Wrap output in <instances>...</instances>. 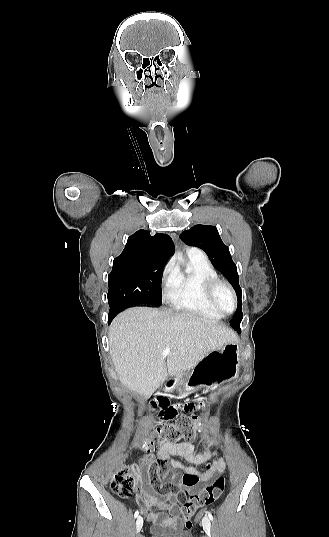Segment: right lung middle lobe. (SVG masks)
<instances>
[{"mask_svg":"<svg viewBox=\"0 0 329 537\" xmlns=\"http://www.w3.org/2000/svg\"><path fill=\"white\" fill-rule=\"evenodd\" d=\"M165 264H152L112 270L108 276V316L135 304L159 306L162 303L160 278Z\"/></svg>","mask_w":329,"mask_h":537,"instance_id":"obj_1","label":"right lung middle lobe"}]
</instances>
